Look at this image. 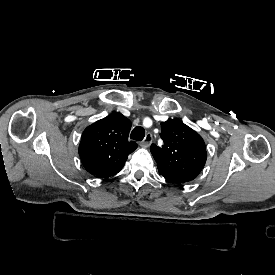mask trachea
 Returning <instances> with one entry per match:
<instances>
[{"label": "trachea", "mask_w": 275, "mask_h": 275, "mask_svg": "<svg viewBox=\"0 0 275 275\" xmlns=\"http://www.w3.org/2000/svg\"><path fill=\"white\" fill-rule=\"evenodd\" d=\"M130 137L133 140L141 141L145 137V129L143 127L137 126L135 127L132 132Z\"/></svg>", "instance_id": "obj_1"}]
</instances>
